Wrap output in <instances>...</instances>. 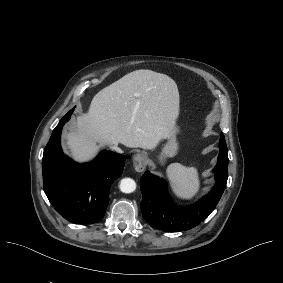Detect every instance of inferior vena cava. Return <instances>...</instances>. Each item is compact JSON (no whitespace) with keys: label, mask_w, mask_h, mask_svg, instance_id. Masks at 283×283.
Returning a JSON list of instances; mask_svg holds the SVG:
<instances>
[{"label":"inferior vena cava","mask_w":283,"mask_h":283,"mask_svg":"<svg viewBox=\"0 0 283 283\" xmlns=\"http://www.w3.org/2000/svg\"><path fill=\"white\" fill-rule=\"evenodd\" d=\"M112 148L118 153H123L122 149L117 146H113Z\"/></svg>","instance_id":"inferior-vena-cava-1"}]
</instances>
